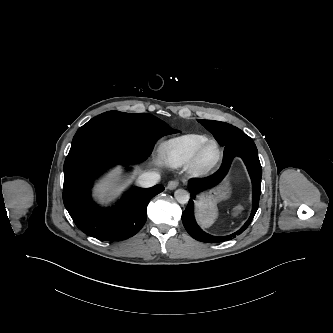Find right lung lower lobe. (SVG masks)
<instances>
[{"mask_svg":"<svg viewBox=\"0 0 333 333\" xmlns=\"http://www.w3.org/2000/svg\"><path fill=\"white\" fill-rule=\"evenodd\" d=\"M148 156L120 141L90 135L73 142L64 163L63 202L76 226L99 240H125L143 227L147 204L164 190L162 185L143 189L133 187L119 203L103 209L93 203V179L105 169L144 161Z\"/></svg>","mask_w":333,"mask_h":333,"instance_id":"1","label":"right lung lower lobe"}]
</instances>
